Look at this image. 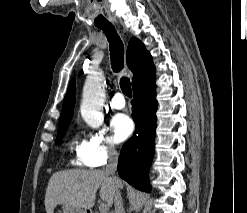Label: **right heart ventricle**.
<instances>
[{
	"mask_svg": "<svg viewBox=\"0 0 247 213\" xmlns=\"http://www.w3.org/2000/svg\"><path fill=\"white\" fill-rule=\"evenodd\" d=\"M82 145H83V142H80L77 138H73L71 140V142L69 143V147L73 150L76 151V154H77V160H76V163L81 165V164H84L82 162V160L80 159L79 157V154H80V151H81V148H82Z\"/></svg>",
	"mask_w": 247,
	"mask_h": 213,
	"instance_id": "right-heart-ventricle-1",
	"label": "right heart ventricle"
}]
</instances>
